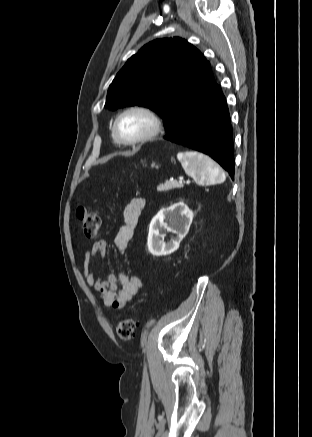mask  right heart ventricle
I'll list each match as a JSON object with an SVG mask.
<instances>
[{"mask_svg": "<svg viewBox=\"0 0 312 437\" xmlns=\"http://www.w3.org/2000/svg\"><path fill=\"white\" fill-rule=\"evenodd\" d=\"M112 139H113V142H114L115 144H120V142H119L118 139L116 138V136H115L113 130H112Z\"/></svg>", "mask_w": 312, "mask_h": 437, "instance_id": "1", "label": "right heart ventricle"}]
</instances>
